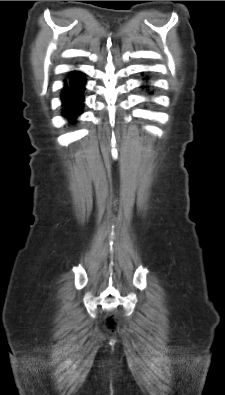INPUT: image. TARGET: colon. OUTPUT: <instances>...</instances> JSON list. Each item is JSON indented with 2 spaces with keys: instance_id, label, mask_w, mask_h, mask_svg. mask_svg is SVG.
Wrapping results in <instances>:
<instances>
[{
  "instance_id": "1",
  "label": "colon",
  "mask_w": 225,
  "mask_h": 395,
  "mask_svg": "<svg viewBox=\"0 0 225 395\" xmlns=\"http://www.w3.org/2000/svg\"><path fill=\"white\" fill-rule=\"evenodd\" d=\"M117 317L114 314L107 316L104 320V325L108 328H112L116 322Z\"/></svg>"
}]
</instances>
